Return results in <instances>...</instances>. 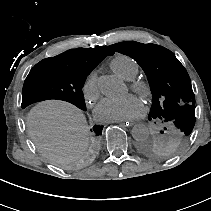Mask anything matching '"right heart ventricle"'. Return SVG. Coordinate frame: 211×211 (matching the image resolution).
Segmentation results:
<instances>
[{
    "instance_id": "e07e8e85",
    "label": "right heart ventricle",
    "mask_w": 211,
    "mask_h": 211,
    "mask_svg": "<svg viewBox=\"0 0 211 211\" xmlns=\"http://www.w3.org/2000/svg\"><path fill=\"white\" fill-rule=\"evenodd\" d=\"M110 67L125 80H133L140 71L138 62L133 57L125 54L116 55L111 60Z\"/></svg>"
}]
</instances>
